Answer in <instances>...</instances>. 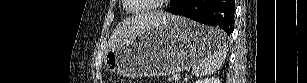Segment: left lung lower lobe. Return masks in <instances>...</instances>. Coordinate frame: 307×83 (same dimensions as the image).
Segmentation results:
<instances>
[{
	"instance_id": "obj_1",
	"label": "left lung lower lobe",
	"mask_w": 307,
	"mask_h": 83,
	"mask_svg": "<svg viewBox=\"0 0 307 83\" xmlns=\"http://www.w3.org/2000/svg\"><path fill=\"white\" fill-rule=\"evenodd\" d=\"M166 11L205 25L219 26L230 35L233 30L235 0H171Z\"/></svg>"
}]
</instances>
